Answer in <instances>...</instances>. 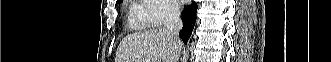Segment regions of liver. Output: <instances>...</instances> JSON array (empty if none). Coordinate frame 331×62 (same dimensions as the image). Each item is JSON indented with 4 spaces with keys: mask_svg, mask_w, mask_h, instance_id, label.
I'll list each match as a JSON object with an SVG mask.
<instances>
[{
    "mask_svg": "<svg viewBox=\"0 0 331 62\" xmlns=\"http://www.w3.org/2000/svg\"><path fill=\"white\" fill-rule=\"evenodd\" d=\"M181 49L164 28L151 29L123 38L115 62H177Z\"/></svg>",
    "mask_w": 331,
    "mask_h": 62,
    "instance_id": "liver-1",
    "label": "liver"
}]
</instances>
